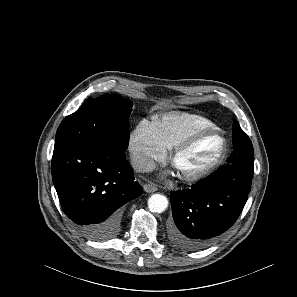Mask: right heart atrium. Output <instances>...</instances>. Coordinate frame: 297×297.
<instances>
[{
  "instance_id": "obj_1",
  "label": "right heart atrium",
  "mask_w": 297,
  "mask_h": 297,
  "mask_svg": "<svg viewBox=\"0 0 297 297\" xmlns=\"http://www.w3.org/2000/svg\"><path fill=\"white\" fill-rule=\"evenodd\" d=\"M128 151L132 166L140 172L151 170L166 156V148L157 138L153 123L148 120L140 121L130 134Z\"/></svg>"
}]
</instances>
